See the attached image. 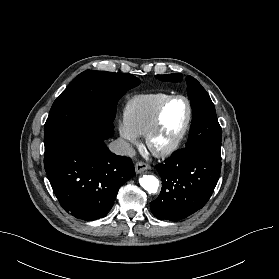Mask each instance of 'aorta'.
<instances>
[{"mask_svg":"<svg viewBox=\"0 0 279 279\" xmlns=\"http://www.w3.org/2000/svg\"><path fill=\"white\" fill-rule=\"evenodd\" d=\"M140 185L149 193H156L159 188V181L153 175H143L139 179Z\"/></svg>","mask_w":279,"mask_h":279,"instance_id":"aorta-1","label":"aorta"}]
</instances>
